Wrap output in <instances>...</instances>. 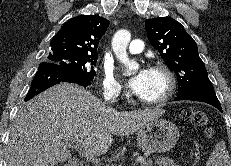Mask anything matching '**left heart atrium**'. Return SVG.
<instances>
[{
    "mask_svg": "<svg viewBox=\"0 0 231 166\" xmlns=\"http://www.w3.org/2000/svg\"><path fill=\"white\" fill-rule=\"evenodd\" d=\"M149 72L148 69H141L129 79L128 85L136 95L140 96L144 92L148 83Z\"/></svg>",
    "mask_w": 231,
    "mask_h": 166,
    "instance_id": "left-heart-atrium-1",
    "label": "left heart atrium"
}]
</instances>
